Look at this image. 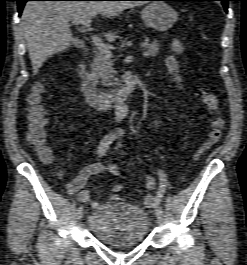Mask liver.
Here are the masks:
<instances>
[{
  "instance_id": "1",
  "label": "liver",
  "mask_w": 247,
  "mask_h": 265,
  "mask_svg": "<svg viewBox=\"0 0 247 265\" xmlns=\"http://www.w3.org/2000/svg\"><path fill=\"white\" fill-rule=\"evenodd\" d=\"M139 1H29L21 16V30L27 42L33 73L51 55L63 52L73 40L70 21L85 20L98 13L106 18L117 16L125 9L140 6ZM110 42L115 33H105Z\"/></svg>"
}]
</instances>
